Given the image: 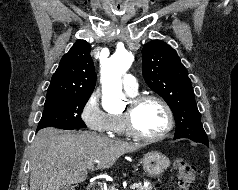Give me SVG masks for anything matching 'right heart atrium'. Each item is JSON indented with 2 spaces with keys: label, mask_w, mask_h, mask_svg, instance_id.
<instances>
[{
  "label": "right heart atrium",
  "mask_w": 238,
  "mask_h": 190,
  "mask_svg": "<svg viewBox=\"0 0 238 190\" xmlns=\"http://www.w3.org/2000/svg\"><path fill=\"white\" fill-rule=\"evenodd\" d=\"M80 117L91 131L105 134L111 131V115L106 113L100 105V92L93 91L84 102Z\"/></svg>",
  "instance_id": "d8ad5b80"
}]
</instances>
